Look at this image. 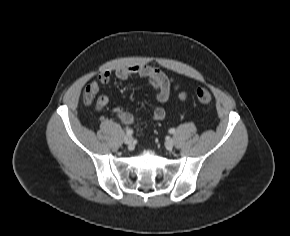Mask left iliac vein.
<instances>
[{"label":"left iliac vein","instance_id":"left-iliac-vein-1","mask_svg":"<svg viewBox=\"0 0 290 236\" xmlns=\"http://www.w3.org/2000/svg\"><path fill=\"white\" fill-rule=\"evenodd\" d=\"M165 147L167 150H172L174 147V140L172 138H169L166 142H165Z\"/></svg>","mask_w":290,"mask_h":236}]
</instances>
